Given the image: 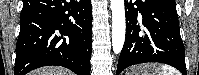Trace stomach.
I'll return each instance as SVG.
<instances>
[{
	"mask_svg": "<svg viewBox=\"0 0 199 75\" xmlns=\"http://www.w3.org/2000/svg\"><path fill=\"white\" fill-rule=\"evenodd\" d=\"M151 69V65H139L127 70L126 75H150L148 71H150Z\"/></svg>",
	"mask_w": 199,
	"mask_h": 75,
	"instance_id": "obj_1",
	"label": "stomach"
}]
</instances>
